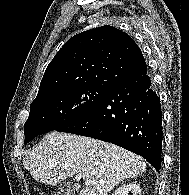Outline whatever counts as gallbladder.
I'll return each mask as SVG.
<instances>
[{"label": "gallbladder", "mask_w": 189, "mask_h": 195, "mask_svg": "<svg viewBox=\"0 0 189 195\" xmlns=\"http://www.w3.org/2000/svg\"><path fill=\"white\" fill-rule=\"evenodd\" d=\"M60 192L63 195H74V190L69 182H63L59 185Z\"/></svg>", "instance_id": "1"}]
</instances>
